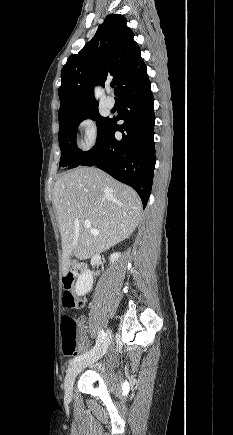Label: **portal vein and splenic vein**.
<instances>
[{
  "label": "portal vein and splenic vein",
  "instance_id": "obj_1",
  "mask_svg": "<svg viewBox=\"0 0 233 435\" xmlns=\"http://www.w3.org/2000/svg\"><path fill=\"white\" fill-rule=\"evenodd\" d=\"M84 227L87 228V229H90L91 233H93L94 235H98L99 234V231L91 228V222L89 220H85Z\"/></svg>",
  "mask_w": 233,
  "mask_h": 435
}]
</instances>
